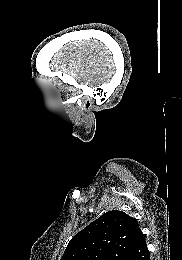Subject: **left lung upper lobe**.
Returning a JSON list of instances; mask_svg holds the SVG:
<instances>
[{"mask_svg":"<svg viewBox=\"0 0 182 260\" xmlns=\"http://www.w3.org/2000/svg\"><path fill=\"white\" fill-rule=\"evenodd\" d=\"M140 231L135 218L109 211L71 239L61 260H122Z\"/></svg>","mask_w":182,"mask_h":260,"instance_id":"1","label":"left lung upper lobe"}]
</instances>
